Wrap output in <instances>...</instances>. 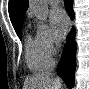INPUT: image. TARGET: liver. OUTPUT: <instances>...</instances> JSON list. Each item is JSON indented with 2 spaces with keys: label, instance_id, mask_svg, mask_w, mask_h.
<instances>
[{
  "label": "liver",
  "instance_id": "liver-1",
  "mask_svg": "<svg viewBox=\"0 0 89 89\" xmlns=\"http://www.w3.org/2000/svg\"><path fill=\"white\" fill-rule=\"evenodd\" d=\"M60 83L58 79L50 75H34L28 77L24 83V89H56Z\"/></svg>",
  "mask_w": 89,
  "mask_h": 89
}]
</instances>
